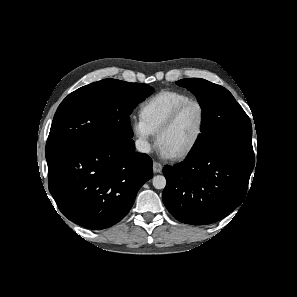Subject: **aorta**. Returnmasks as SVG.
I'll return each mask as SVG.
<instances>
[{
  "label": "aorta",
  "mask_w": 297,
  "mask_h": 297,
  "mask_svg": "<svg viewBox=\"0 0 297 297\" xmlns=\"http://www.w3.org/2000/svg\"><path fill=\"white\" fill-rule=\"evenodd\" d=\"M152 183L156 189H164L166 186V179L163 175H156L153 177Z\"/></svg>",
  "instance_id": "762f6f07"
}]
</instances>
